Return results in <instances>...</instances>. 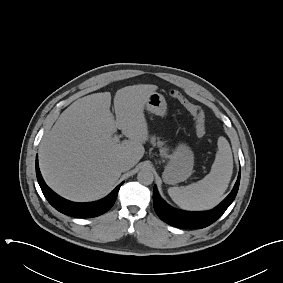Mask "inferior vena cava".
Returning <instances> with one entry per match:
<instances>
[{"label":"inferior vena cava","instance_id":"1","mask_svg":"<svg viewBox=\"0 0 283 283\" xmlns=\"http://www.w3.org/2000/svg\"><path fill=\"white\" fill-rule=\"evenodd\" d=\"M118 167L121 172H125L129 170L132 167V165L129 161H121L119 162Z\"/></svg>","mask_w":283,"mask_h":283}]
</instances>
